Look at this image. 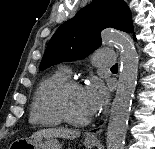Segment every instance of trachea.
I'll return each mask as SVG.
<instances>
[{
    "label": "trachea",
    "instance_id": "trachea-1",
    "mask_svg": "<svg viewBox=\"0 0 155 149\" xmlns=\"http://www.w3.org/2000/svg\"><path fill=\"white\" fill-rule=\"evenodd\" d=\"M111 69H118V64L116 63L114 66L111 67Z\"/></svg>",
    "mask_w": 155,
    "mask_h": 149
}]
</instances>
